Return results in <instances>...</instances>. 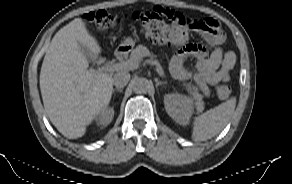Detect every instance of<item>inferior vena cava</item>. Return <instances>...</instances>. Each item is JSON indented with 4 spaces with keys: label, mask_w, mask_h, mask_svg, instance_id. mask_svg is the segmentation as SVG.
Masks as SVG:
<instances>
[{
    "label": "inferior vena cava",
    "mask_w": 292,
    "mask_h": 184,
    "mask_svg": "<svg viewBox=\"0 0 292 184\" xmlns=\"http://www.w3.org/2000/svg\"><path fill=\"white\" fill-rule=\"evenodd\" d=\"M112 80H113V84L117 88H123L129 82L130 74L127 71H119L116 74H114Z\"/></svg>",
    "instance_id": "obj_1"
}]
</instances>
